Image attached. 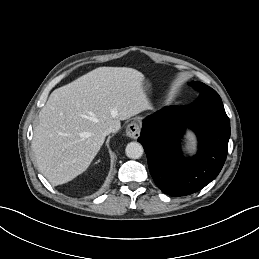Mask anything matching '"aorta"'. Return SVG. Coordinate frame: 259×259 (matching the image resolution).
<instances>
[{
  "label": "aorta",
  "instance_id": "1",
  "mask_svg": "<svg viewBox=\"0 0 259 259\" xmlns=\"http://www.w3.org/2000/svg\"><path fill=\"white\" fill-rule=\"evenodd\" d=\"M125 153L131 159H138L143 154V147L138 142H130L126 146Z\"/></svg>",
  "mask_w": 259,
  "mask_h": 259
}]
</instances>
